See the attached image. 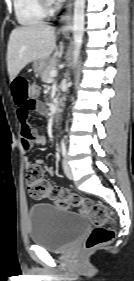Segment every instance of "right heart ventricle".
<instances>
[{"label":"right heart ventricle","instance_id":"e07e8e85","mask_svg":"<svg viewBox=\"0 0 134 281\" xmlns=\"http://www.w3.org/2000/svg\"><path fill=\"white\" fill-rule=\"evenodd\" d=\"M13 7L17 21L25 26L40 23L47 14L39 0H13Z\"/></svg>","mask_w":134,"mask_h":281}]
</instances>
